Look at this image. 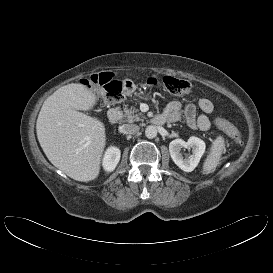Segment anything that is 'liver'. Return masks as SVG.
I'll list each match as a JSON object with an SVG mask.
<instances>
[{"label": "liver", "mask_w": 273, "mask_h": 273, "mask_svg": "<svg viewBox=\"0 0 273 273\" xmlns=\"http://www.w3.org/2000/svg\"><path fill=\"white\" fill-rule=\"evenodd\" d=\"M97 101L85 85H65L45 100L36 123L37 138L48 160L81 182L98 177L106 146L104 124L78 111L91 110Z\"/></svg>", "instance_id": "1"}]
</instances>
